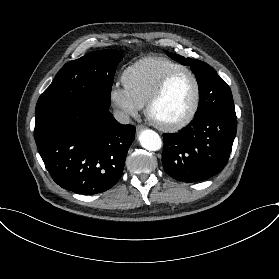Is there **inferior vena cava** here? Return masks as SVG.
<instances>
[{
	"instance_id": "inferior-vena-cava-1",
	"label": "inferior vena cava",
	"mask_w": 279,
	"mask_h": 279,
	"mask_svg": "<svg viewBox=\"0 0 279 279\" xmlns=\"http://www.w3.org/2000/svg\"><path fill=\"white\" fill-rule=\"evenodd\" d=\"M113 116L120 124H129L130 123L129 115H127L126 113H124L121 110H114Z\"/></svg>"
}]
</instances>
